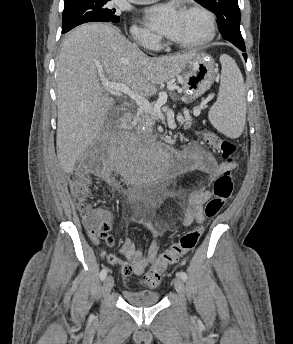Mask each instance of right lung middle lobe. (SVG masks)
<instances>
[{
	"label": "right lung middle lobe",
	"mask_w": 293,
	"mask_h": 344,
	"mask_svg": "<svg viewBox=\"0 0 293 344\" xmlns=\"http://www.w3.org/2000/svg\"><path fill=\"white\" fill-rule=\"evenodd\" d=\"M110 0H77L65 3L62 17V33L87 22L118 23L115 9L108 8Z\"/></svg>",
	"instance_id": "dd1d6c3e"
}]
</instances>
